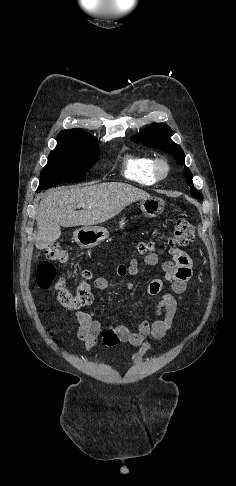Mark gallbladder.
<instances>
[{"label":"gallbladder","instance_id":"obj_1","mask_svg":"<svg viewBox=\"0 0 236 486\" xmlns=\"http://www.w3.org/2000/svg\"><path fill=\"white\" fill-rule=\"evenodd\" d=\"M60 225L51 223L43 231L44 240L38 244L39 249L46 248L50 243L54 242L60 237Z\"/></svg>","mask_w":236,"mask_h":486}]
</instances>
